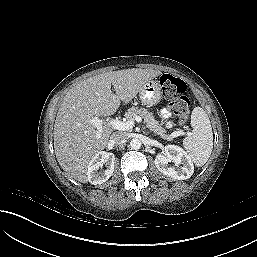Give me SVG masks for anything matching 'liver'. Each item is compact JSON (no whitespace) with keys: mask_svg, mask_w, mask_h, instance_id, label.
I'll return each mask as SVG.
<instances>
[{"mask_svg":"<svg viewBox=\"0 0 257 257\" xmlns=\"http://www.w3.org/2000/svg\"><path fill=\"white\" fill-rule=\"evenodd\" d=\"M161 74L138 68L110 71L72 87L61 102L54 124L55 155L62 169L75 180L88 182V165L105 149L113 132L106 125L98 130L89 120L114 114L121 103H129L146 82Z\"/></svg>","mask_w":257,"mask_h":257,"instance_id":"liver-1","label":"liver"}]
</instances>
